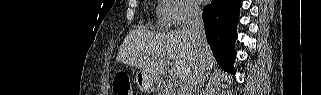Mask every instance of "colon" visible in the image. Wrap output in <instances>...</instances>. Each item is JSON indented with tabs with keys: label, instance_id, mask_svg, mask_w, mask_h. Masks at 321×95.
I'll use <instances>...</instances> for the list:
<instances>
[{
	"label": "colon",
	"instance_id": "obj_1",
	"mask_svg": "<svg viewBox=\"0 0 321 95\" xmlns=\"http://www.w3.org/2000/svg\"><path fill=\"white\" fill-rule=\"evenodd\" d=\"M113 91L116 95H133L129 77L126 75H116L113 82Z\"/></svg>",
	"mask_w": 321,
	"mask_h": 95
}]
</instances>
